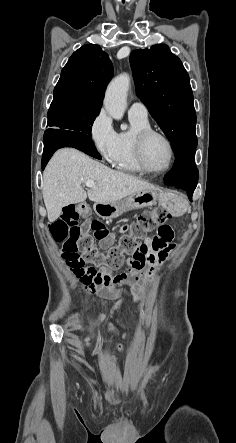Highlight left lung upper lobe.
I'll return each mask as SVG.
<instances>
[{
    "mask_svg": "<svg viewBox=\"0 0 236 443\" xmlns=\"http://www.w3.org/2000/svg\"><path fill=\"white\" fill-rule=\"evenodd\" d=\"M136 92L172 144L175 156L197 145L196 114L189 75L164 44L130 56Z\"/></svg>",
    "mask_w": 236,
    "mask_h": 443,
    "instance_id": "left-lung-upper-lobe-1",
    "label": "left lung upper lobe"
}]
</instances>
